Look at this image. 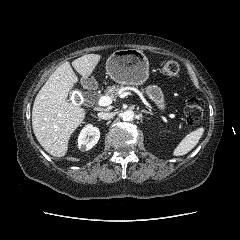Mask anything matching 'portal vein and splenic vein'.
Wrapping results in <instances>:
<instances>
[{
  "mask_svg": "<svg viewBox=\"0 0 240 240\" xmlns=\"http://www.w3.org/2000/svg\"><path fill=\"white\" fill-rule=\"evenodd\" d=\"M128 93H123L121 97L126 96ZM112 103V99L109 96H101L98 100V104L100 106H108ZM170 118H175L174 114H169Z\"/></svg>",
  "mask_w": 240,
  "mask_h": 240,
  "instance_id": "obj_1",
  "label": "portal vein and splenic vein"
}]
</instances>
